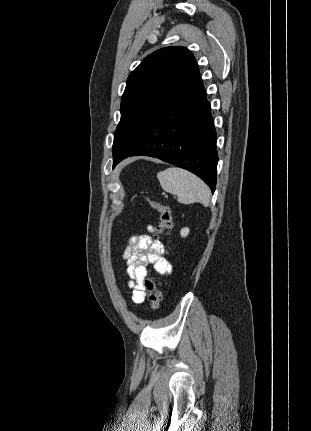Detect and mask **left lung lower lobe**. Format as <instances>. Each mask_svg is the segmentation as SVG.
<instances>
[{
    "label": "left lung lower lobe",
    "instance_id": "0a47b994",
    "mask_svg": "<svg viewBox=\"0 0 311 431\" xmlns=\"http://www.w3.org/2000/svg\"><path fill=\"white\" fill-rule=\"evenodd\" d=\"M216 132L199 71L150 121L143 133L121 155L123 159L144 155L189 170L209 185L216 186Z\"/></svg>",
    "mask_w": 311,
    "mask_h": 431
}]
</instances>
